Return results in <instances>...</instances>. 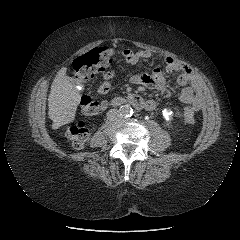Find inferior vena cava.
<instances>
[{
	"mask_svg": "<svg viewBox=\"0 0 240 240\" xmlns=\"http://www.w3.org/2000/svg\"><path fill=\"white\" fill-rule=\"evenodd\" d=\"M120 113H119V110L117 109H111L107 112V119L109 121H116L117 119L120 118Z\"/></svg>",
	"mask_w": 240,
	"mask_h": 240,
	"instance_id": "inferior-vena-cava-1",
	"label": "inferior vena cava"
}]
</instances>
